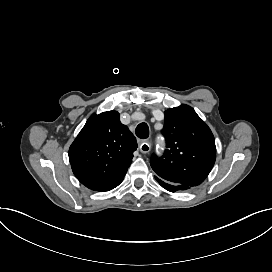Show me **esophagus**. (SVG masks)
Instances as JSON below:
<instances>
[{
    "instance_id": "esophagus-1",
    "label": "esophagus",
    "mask_w": 272,
    "mask_h": 272,
    "mask_svg": "<svg viewBox=\"0 0 272 272\" xmlns=\"http://www.w3.org/2000/svg\"><path fill=\"white\" fill-rule=\"evenodd\" d=\"M139 147L142 153H148L151 149V145L148 142L141 143Z\"/></svg>"
}]
</instances>
